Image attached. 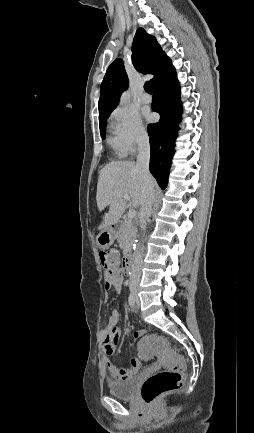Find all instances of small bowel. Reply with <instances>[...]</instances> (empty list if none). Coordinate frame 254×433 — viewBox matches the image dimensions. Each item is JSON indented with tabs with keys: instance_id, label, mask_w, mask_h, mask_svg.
<instances>
[{
	"instance_id": "obj_1",
	"label": "small bowel",
	"mask_w": 254,
	"mask_h": 433,
	"mask_svg": "<svg viewBox=\"0 0 254 433\" xmlns=\"http://www.w3.org/2000/svg\"><path fill=\"white\" fill-rule=\"evenodd\" d=\"M123 285L122 276L119 277H108L105 278V288H115L120 291ZM119 312L112 310L109 318L103 328L104 339L102 342V348L104 351V360L107 371L112 379L115 380H129L131 379L140 369L141 361L138 357H131L128 367L122 368L117 367L112 363L110 357L115 353L117 342L122 335V330L117 326L119 321ZM143 335L142 331H135L133 338L138 339Z\"/></svg>"
}]
</instances>
